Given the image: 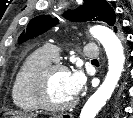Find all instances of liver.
I'll list each match as a JSON object with an SVG mask.
<instances>
[{"instance_id":"6515ba94","label":"liver","mask_w":133,"mask_h":118,"mask_svg":"<svg viewBox=\"0 0 133 118\" xmlns=\"http://www.w3.org/2000/svg\"><path fill=\"white\" fill-rule=\"evenodd\" d=\"M9 115H12L13 118H37L36 114H27L24 112H10Z\"/></svg>"}]
</instances>
